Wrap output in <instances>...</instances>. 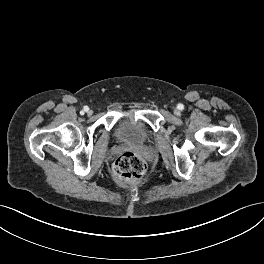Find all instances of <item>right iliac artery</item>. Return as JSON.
Masks as SVG:
<instances>
[{
    "instance_id": "1",
    "label": "right iliac artery",
    "mask_w": 264,
    "mask_h": 264,
    "mask_svg": "<svg viewBox=\"0 0 264 264\" xmlns=\"http://www.w3.org/2000/svg\"><path fill=\"white\" fill-rule=\"evenodd\" d=\"M89 110L88 106H84L83 111L87 112Z\"/></svg>"
}]
</instances>
